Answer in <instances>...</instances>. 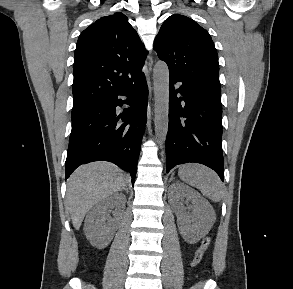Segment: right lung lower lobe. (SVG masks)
Here are the masks:
<instances>
[{"instance_id":"obj_1","label":"right lung lower lobe","mask_w":293,"mask_h":289,"mask_svg":"<svg viewBox=\"0 0 293 289\" xmlns=\"http://www.w3.org/2000/svg\"><path fill=\"white\" fill-rule=\"evenodd\" d=\"M128 97L122 101L118 96ZM148 87L145 75L87 108L72 113V131L65 162L66 179L80 165L109 161L127 170L134 183L141 138L147 121ZM123 103L129 108L119 114Z\"/></svg>"}]
</instances>
